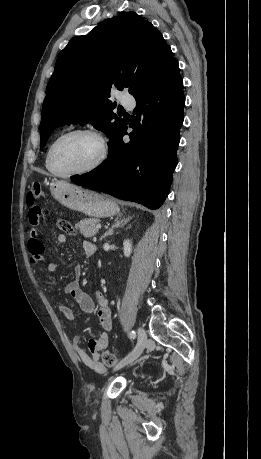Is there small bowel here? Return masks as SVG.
Masks as SVG:
<instances>
[{
	"mask_svg": "<svg viewBox=\"0 0 261 459\" xmlns=\"http://www.w3.org/2000/svg\"><path fill=\"white\" fill-rule=\"evenodd\" d=\"M56 241L58 243H64L66 241V234L58 233L56 236ZM28 249L34 262H41L45 259V248L38 234H29ZM82 249L86 256H92L95 252L94 245L88 241H84L82 243ZM56 267L57 263L51 262L47 267V273L52 274L56 270ZM81 274V266H76L74 268V280L68 282L65 285L64 293L73 298L82 312L91 314L95 310V303L93 299L87 293H85L79 285V278L81 277ZM95 299L98 303V320L104 331L98 337L89 339V352L81 347L80 336L74 337L72 340V348L77 353L79 359L85 365L94 370H102L103 366L100 362V351L108 347L110 342L109 332L112 330L113 325L111 310L106 296L102 292L97 291L95 293ZM58 310L67 320L72 321L77 317L76 313L65 304L59 303Z\"/></svg>",
	"mask_w": 261,
	"mask_h": 459,
	"instance_id": "c3829d8e",
	"label": "small bowel"
}]
</instances>
